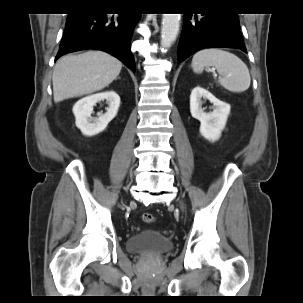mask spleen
<instances>
[{
  "label": "spleen",
  "mask_w": 303,
  "mask_h": 303,
  "mask_svg": "<svg viewBox=\"0 0 303 303\" xmlns=\"http://www.w3.org/2000/svg\"><path fill=\"white\" fill-rule=\"evenodd\" d=\"M213 66L220 75L219 84L228 91L240 93L250 86L248 67L236 55L219 48L204 49L192 59L195 73H201L205 67Z\"/></svg>",
  "instance_id": "obj_1"
}]
</instances>
